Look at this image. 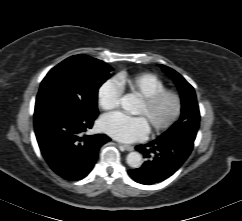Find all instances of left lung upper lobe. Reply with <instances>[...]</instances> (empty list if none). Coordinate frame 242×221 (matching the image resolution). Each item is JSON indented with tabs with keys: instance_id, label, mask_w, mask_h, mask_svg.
<instances>
[{
	"instance_id": "5c2ea615",
	"label": "left lung upper lobe",
	"mask_w": 242,
	"mask_h": 221,
	"mask_svg": "<svg viewBox=\"0 0 242 221\" xmlns=\"http://www.w3.org/2000/svg\"><path fill=\"white\" fill-rule=\"evenodd\" d=\"M162 70L175 81L181 97V118L161 138L196 136L200 113L194 88L175 70L160 65Z\"/></svg>"
}]
</instances>
